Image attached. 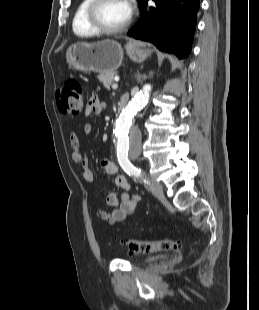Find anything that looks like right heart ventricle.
Here are the masks:
<instances>
[{
	"label": "right heart ventricle",
	"mask_w": 259,
	"mask_h": 310,
	"mask_svg": "<svg viewBox=\"0 0 259 310\" xmlns=\"http://www.w3.org/2000/svg\"><path fill=\"white\" fill-rule=\"evenodd\" d=\"M90 3L91 0H80L73 15L72 30L81 38L92 37L96 34L86 21V11Z\"/></svg>",
	"instance_id": "obj_1"
}]
</instances>
